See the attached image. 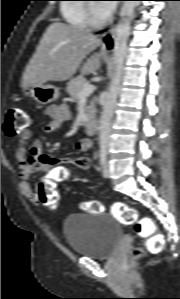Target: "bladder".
<instances>
[{
  "label": "bladder",
  "instance_id": "obj_1",
  "mask_svg": "<svg viewBox=\"0 0 180 299\" xmlns=\"http://www.w3.org/2000/svg\"><path fill=\"white\" fill-rule=\"evenodd\" d=\"M62 232L75 254L94 259L111 257L122 238L118 222L105 212L69 215L62 223Z\"/></svg>",
  "mask_w": 180,
  "mask_h": 299
}]
</instances>
